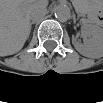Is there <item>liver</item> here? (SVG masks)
Masks as SVG:
<instances>
[{
	"instance_id": "obj_1",
	"label": "liver",
	"mask_w": 103,
	"mask_h": 103,
	"mask_svg": "<svg viewBox=\"0 0 103 103\" xmlns=\"http://www.w3.org/2000/svg\"><path fill=\"white\" fill-rule=\"evenodd\" d=\"M43 2L6 0L1 2V44L2 56L20 51L30 34L31 11L44 8Z\"/></svg>"
}]
</instances>
